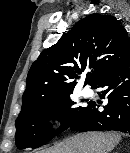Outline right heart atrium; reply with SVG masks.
<instances>
[{"instance_id":"d8ad5b80","label":"right heart atrium","mask_w":130,"mask_h":153,"mask_svg":"<svg viewBox=\"0 0 130 153\" xmlns=\"http://www.w3.org/2000/svg\"><path fill=\"white\" fill-rule=\"evenodd\" d=\"M67 122V115L63 111H58L53 115V123L56 127H62Z\"/></svg>"}]
</instances>
